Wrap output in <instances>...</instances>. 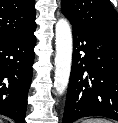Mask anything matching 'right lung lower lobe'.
Segmentation results:
<instances>
[{
    "instance_id": "1",
    "label": "right lung lower lobe",
    "mask_w": 118,
    "mask_h": 123,
    "mask_svg": "<svg viewBox=\"0 0 118 123\" xmlns=\"http://www.w3.org/2000/svg\"><path fill=\"white\" fill-rule=\"evenodd\" d=\"M35 31V30H34ZM31 33L0 41V114L25 123L36 37Z\"/></svg>"
}]
</instances>
